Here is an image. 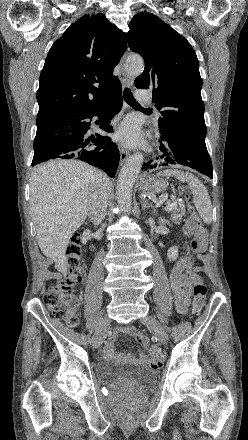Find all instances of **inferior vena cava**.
Wrapping results in <instances>:
<instances>
[{
    "instance_id": "602c4592",
    "label": "inferior vena cava",
    "mask_w": 248,
    "mask_h": 440,
    "mask_svg": "<svg viewBox=\"0 0 248 440\" xmlns=\"http://www.w3.org/2000/svg\"><path fill=\"white\" fill-rule=\"evenodd\" d=\"M109 194V179L104 174L97 175L88 208L89 218L95 226L99 225L105 218Z\"/></svg>"
}]
</instances>
